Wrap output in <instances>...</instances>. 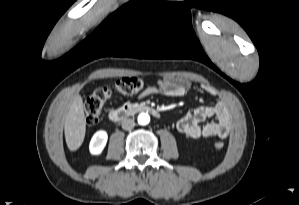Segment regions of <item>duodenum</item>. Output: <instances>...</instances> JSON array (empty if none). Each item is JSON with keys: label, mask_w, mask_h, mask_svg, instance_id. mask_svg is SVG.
Listing matches in <instances>:
<instances>
[{"label": "duodenum", "mask_w": 299, "mask_h": 205, "mask_svg": "<svg viewBox=\"0 0 299 205\" xmlns=\"http://www.w3.org/2000/svg\"><path fill=\"white\" fill-rule=\"evenodd\" d=\"M137 113H148L156 117L160 115L157 109L146 104H126L112 109L109 112V118L114 122H118Z\"/></svg>", "instance_id": "1"}]
</instances>
